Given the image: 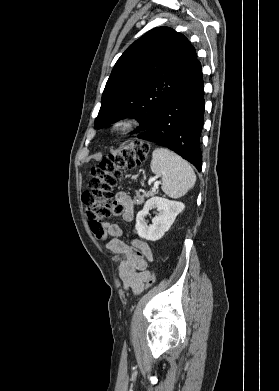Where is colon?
<instances>
[{
  "mask_svg": "<svg viewBox=\"0 0 279 391\" xmlns=\"http://www.w3.org/2000/svg\"><path fill=\"white\" fill-rule=\"evenodd\" d=\"M148 152L147 143L133 140L109 158L102 160L99 167L92 170L89 191L83 194L82 200L90 229L97 238L105 239L107 236L103 229L104 221L120 215L123 211L122 206L113 200L112 191L117 179L122 171L145 162ZM136 252L142 256L140 251ZM154 282L155 274L151 272L145 287H152Z\"/></svg>",
  "mask_w": 279,
  "mask_h": 391,
  "instance_id": "obj_1",
  "label": "colon"
}]
</instances>
